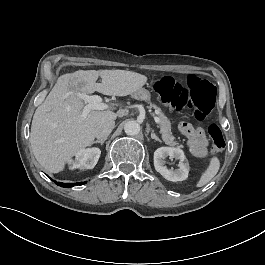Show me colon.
Returning <instances> with one entry per match:
<instances>
[{"mask_svg":"<svg viewBox=\"0 0 265 265\" xmlns=\"http://www.w3.org/2000/svg\"><path fill=\"white\" fill-rule=\"evenodd\" d=\"M153 90L173 112L185 113L190 118L203 120L209 114L217 98L216 86L207 80H194L183 85L172 75H163L153 85ZM213 152L220 153L226 143L218 124L208 126Z\"/></svg>","mask_w":265,"mask_h":265,"instance_id":"obj_1","label":"colon"}]
</instances>
